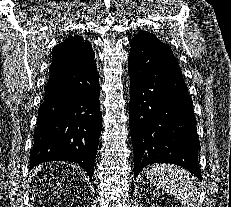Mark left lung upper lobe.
I'll return each instance as SVG.
<instances>
[{"label":"left lung upper lobe","mask_w":231,"mask_h":207,"mask_svg":"<svg viewBox=\"0 0 231 207\" xmlns=\"http://www.w3.org/2000/svg\"><path fill=\"white\" fill-rule=\"evenodd\" d=\"M132 40H156L160 41L154 34L147 32V31H140L138 32Z\"/></svg>","instance_id":"left-lung-upper-lobe-1"}]
</instances>
